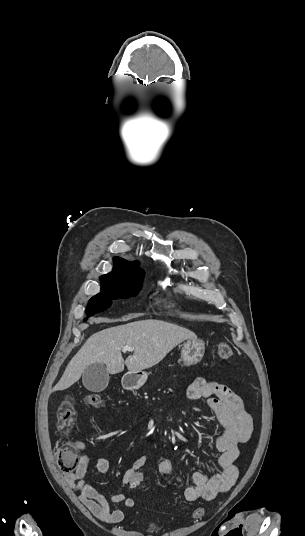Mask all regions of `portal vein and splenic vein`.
Instances as JSON below:
<instances>
[{"instance_id": "1", "label": "portal vein and splenic vein", "mask_w": 305, "mask_h": 536, "mask_svg": "<svg viewBox=\"0 0 305 536\" xmlns=\"http://www.w3.org/2000/svg\"><path fill=\"white\" fill-rule=\"evenodd\" d=\"M122 352H133V348H129V346H123Z\"/></svg>"}]
</instances>
